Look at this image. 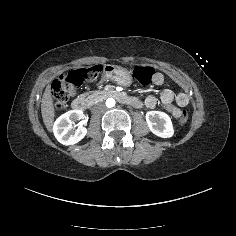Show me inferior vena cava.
I'll return each mask as SVG.
<instances>
[{
	"mask_svg": "<svg viewBox=\"0 0 236 236\" xmlns=\"http://www.w3.org/2000/svg\"><path fill=\"white\" fill-rule=\"evenodd\" d=\"M105 110V105L103 103H97L92 107L93 113H102Z\"/></svg>",
	"mask_w": 236,
	"mask_h": 236,
	"instance_id": "obj_1",
	"label": "inferior vena cava"
}]
</instances>
